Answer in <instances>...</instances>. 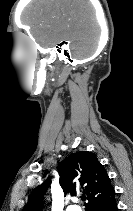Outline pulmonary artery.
Returning <instances> with one entry per match:
<instances>
[{
  "mask_svg": "<svg viewBox=\"0 0 133 211\" xmlns=\"http://www.w3.org/2000/svg\"><path fill=\"white\" fill-rule=\"evenodd\" d=\"M66 211H81V209L76 205H69Z\"/></svg>",
  "mask_w": 133,
  "mask_h": 211,
  "instance_id": "1",
  "label": "pulmonary artery"
}]
</instances>
